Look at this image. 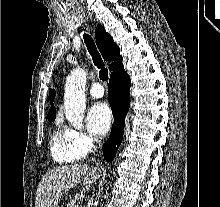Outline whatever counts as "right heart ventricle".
<instances>
[{"label":"right heart ventricle","instance_id":"right-heart-ventricle-1","mask_svg":"<svg viewBox=\"0 0 220 207\" xmlns=\"http://www.w3.org/2000/svg\"><path fill=\"white\" fill-rule=\"evenodd\" d=\"M50 152L53 160L59 164L74 163L85 156V152L73 143L65 129H57L52 134Z\"/></svg>","mask_w":220,"mask_h":207}]
</instances>
